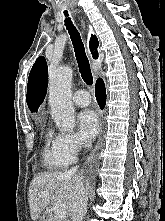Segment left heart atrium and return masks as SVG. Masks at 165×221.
I'll return each instance as SVG.
<instances>
[{
  "label": "left heart atrium",
  "mask_w": 165,
  "mask_h": 221,
  "mask_svg": "<svg viewBox=\"0 0 165 221\" xmlns=\"http://www.w3.org/2000/svg\"><path fill=\"white\" fill-rule=\"evenodd\" d=\"M99 118L92 110H84L78 115L80 132L87 139H93L99 131Z\"/></svg>",
  "instance_id": "left-heart-atrium-1"
}]
</instances>
